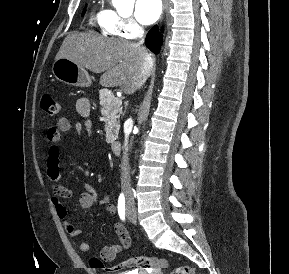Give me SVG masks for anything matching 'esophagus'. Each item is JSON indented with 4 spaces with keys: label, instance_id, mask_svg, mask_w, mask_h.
Segmentation results:
<instances>
[{
    "label": "esophagus",
    "instance_id": "34e87169",
    "mask_svg": "<svg viewBox=\"0 0 289 274\" xmlns=\"http://www.w3.org/2000/svg\"><path fill=\"white\" fill-rule=\"evenodd\" d=\"M168 7V0H164V9L167 10Z\"/></svg>",
    "mask_w": 289,
    "mask_h": 274
}]
</instances>
